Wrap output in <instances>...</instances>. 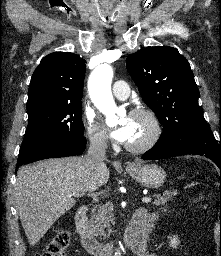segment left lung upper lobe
<instances>
[{"label": "left lung upper lobe", "mask_w": 221, "mask_h": 256, "mask_svg": "<svg viewBox=\"0 0 221 256\" xmlns=\"http://www.w3.org/2000/svg\"><path fill=\"white\" fill-rule=\"evenodd\" d=\"M126 68L148 107L163 125L160 137L178 130L209 127L198 105L199 91L190 64L169 46L147 47L130 54Z\"/></svg>", "instance_id": "obj_1"}]
</instances>
